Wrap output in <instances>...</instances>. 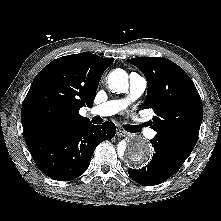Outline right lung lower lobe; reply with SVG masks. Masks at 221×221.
Masks as SVG:
<instances>
[{
	"label": "right lung lower lobe",
	"instance_id": "1",
	"mask_svg": "<svg viewBox=\"0 0 221 221\" xmlns=\"http://www.w3.org/2000/svg\"><path fill=\"white\" fill-rule=\"evenodd\" d=\"M112 122L102 125L82 124L26 141L30 153L48 177L69 181L79 177L88 168L98 144L115 136Z\"/></svg>",
	"mask_w": 221,
	"mask_h": 221
}]
</instances>
